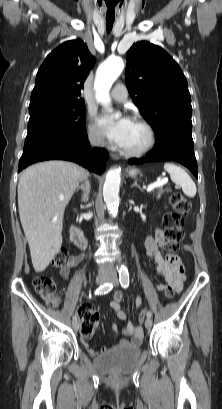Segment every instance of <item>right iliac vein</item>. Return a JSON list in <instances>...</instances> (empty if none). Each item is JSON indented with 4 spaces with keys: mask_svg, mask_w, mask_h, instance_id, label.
Wrapping results in <instances>:
<instances>
[{
    "mask_svg": "<svg viewBox=\"0 0 222 409\" xmlns=\"http://www.w3.org/2000/svg\"><path fill=\"white\" fill-rule=\"evenodd\" d=\"M109 280V278L105 275V274H100L97 278H96V282L98 284H103L105 282H107ZM80 327L79 323L77 321H73V328L75 330H78Z\"/></svg>",
    "mask_w": 222,
    "mask_h": 409,
    "instance_id": "obj_1",
    "label": "right iliac vein"
}]
</instances>
